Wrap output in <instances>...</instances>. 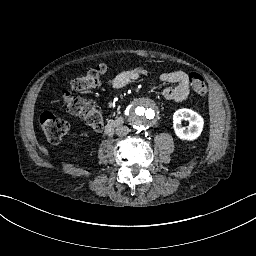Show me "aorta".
<instances>
[{
	"instance_id": "1",
	"label": "aorta",
	"mask_w": 256,
	"mask_h": 256,
	"mask_svg": "<svg viewBox=\"0 0 256 256\" xmlns=\"http://www.w3.org/2000/svg\"><path fill=\"white\" fill-rule=\"evenodd\" d=\"M129 116L134 125L146 128L155 123L158 111L153 102L141 99L132 104Z\"/></svg>"
}]
</instances>
